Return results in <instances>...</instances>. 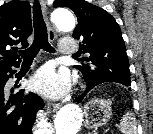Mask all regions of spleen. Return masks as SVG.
Returning <instances> with one entry per match:
<instances>
[{"instance_id":"3e777b00","label":"spleen","mask_w":153,"mask_h":134,"mask_svg":"<svg viewBox=\"0 0 153 134\" xmlns=\"http://www.w3.org/2000/svg\"><path fill=\"white\" fill-rule=\"evenodd\" d=\"M136 122L134 114L131 111L126 112L120 122V131L122 134H136Z\"/></svg>"}]
</instances>
